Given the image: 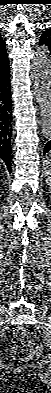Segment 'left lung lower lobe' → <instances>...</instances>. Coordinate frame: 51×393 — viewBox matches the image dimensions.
Masks as SVG:
<instances>
[{"instance_id":"0a47b994","label":"left lung lower lobe","mask_w":51,"mask_h":393,"mask_svg":"<svg viewBox=\"0 0 51 393\" xmlns=\"http://www.w3.org/2000/svg\"><path fill=\"white\" fill-rule=\"evenodd\" d=\"M49 150H51V141L46 143L44 147L43 155H45Z\"/></svg>"}]
</instances>
